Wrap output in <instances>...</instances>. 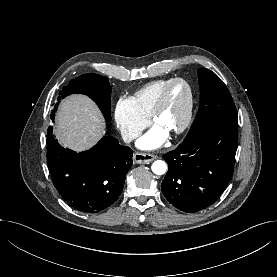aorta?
I'll use <instances>...</instances> for the list:
<instances>
[{"label": "aorta", "mask_w": 277, "mask_h": 277, "mask_svg": "<svg viewBox=\"0 0 277 277\" xmlns=\"http://www.w3.org/2000/svg\"><path fill=\"white\" fill-rule=\"evenodd\" d=\"M167 170V165L162 160H157L152 164V171L156 175H163Z\"/></svg>", "instance_id": "aorta-1"}]
</instances>
